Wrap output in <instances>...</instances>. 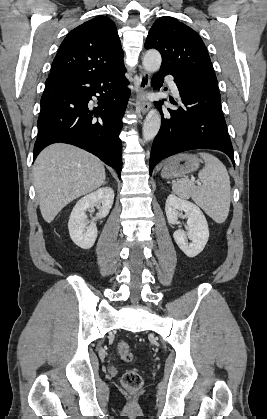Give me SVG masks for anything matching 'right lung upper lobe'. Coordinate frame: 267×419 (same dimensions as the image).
<instances>
[{
	"mask_svg": "<svg viewBox=\"0 0 267 419\" xmlns=\"http://www.w3.org/2000/svg\"><path fill=\"white\" fill-rule=\"evenodd\" d=\"M123 65V50L116 26L110 18L99 16L66 36L48 79L108 73Z\"/></svg>",
	"mask_w": 267,
	"mask_h": 419,
	"instance_id": "1",
	"label": "right lung upper lobe"
}]
</instances>
